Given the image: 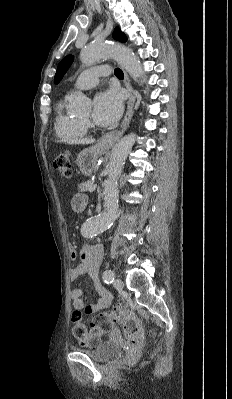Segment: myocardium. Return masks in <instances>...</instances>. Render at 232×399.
<instances>
[{"mask_svg":"<svg viewBox=\"0 0 232 399\" xmlns=\"http://www.w3.org/2000/svg\"><path fill=\"white\" fill-rule=\"evenodd\" d=\"M82 120H83L84 124H85L87 127L93 128V129L95 128V127H94V124H93L88 118H83Z\"/></svg>","mask_w":232,"mask_h":399,"instance_id":"obj_1","label":"myocardium"}]
</instances>
